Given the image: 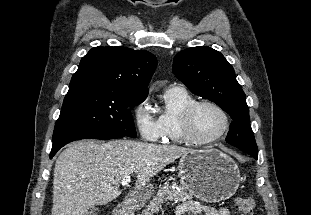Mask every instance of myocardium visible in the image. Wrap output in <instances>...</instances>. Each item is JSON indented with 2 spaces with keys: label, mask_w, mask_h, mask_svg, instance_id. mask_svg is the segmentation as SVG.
Returning a JSON list of instances; mask_svg holds the SVG:
<instances>
[{
  "label": "myocardium",
  "mask_w": 311,
  "mask_h": 215,
  "mask_svg": "<svg viewBox=\"0 0 311 215\" xmlns=\"http://www.w3.org/2000/svg\"><path fill=\"white\" fill-rule=\"evenodd\" d=\"M208 105L217 109L223 117V127L218 134L211 138H199L194 131L193 121L197 109L201 106ZM181 129L184 139L187 143L193 145H208L218 141L224 136L229 128V116L226 110L218 103L211 100H199L190 103L181 113L180 116Z\"/></svg>",
  "instance_id": "obj_1"
}]
</instances>
